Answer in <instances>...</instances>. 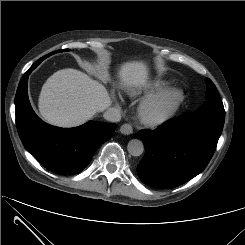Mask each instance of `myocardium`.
I'll return each mask as SVG.
<instances>
[{
    "instance_id": "obj_1",
    "label": "myocardium",
    "mask_w": 245,
    "mask_h": 245,
    "mask_svg": "<svg viewBox=\"0 0 245 245\" xmlns=\"http://www.w3.org/2000/svg\"><path fill=\"white\" fill-rule=\"evenodd\" d=\"M182 100L183 92L179 89H171L158 96L147 98L139 106V118L147 126L160 125L177 112Z\"/></svg>"
}]
</instances>
